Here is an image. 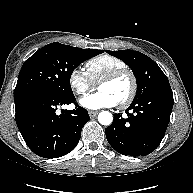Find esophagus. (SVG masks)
Instances as JSON below:
<instances>
[{"instance_id": "obj_1", "label": "esophagus", "mask_w": 193, "mask_h": 193, "mask_svg": "<svg viewBox=\"0 0 193 193\" xmlns=\"http://www.w3.org/2000/svg\"><path fill=\"white\" fill-rule=\"evenodd\" d=\"M98 115V111H89V116L91 117V118H94V117H96Z\"/></svg>"}]
</instances>
